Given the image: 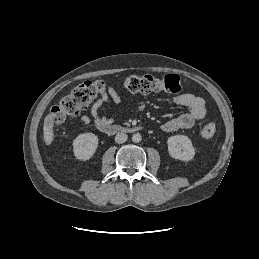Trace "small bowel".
I'll use <instances>...</instances> for the list:
<instances>
[{
  "label": "small bowel",
  "mask_w": 259,
  "mask_h": 259,
  "mask_svg": "<svg viewBox=\"0 0 259 259\" xmlns=\"http://www.w3.org/2000/svg\"><path fill=\"white\" fill-rule=\"evenodd\" d=\"M121 105L123 103L121 97L111 87H108L107 93L98 98L90 108V116L83 115L80 121L87 125L91 121L99 128L101 125H110L114 117L108 116L106 113V105L109 101ZM171 101L179 106L189 109V112L172 118L161 125V130L166 133L178 130H188L194 127L197 121L205 118L207 115V106L203 98L190 93H183L171 98Z\"/></svg>",
  "instance_id": "small-bowel-1"
}]
</instances>
